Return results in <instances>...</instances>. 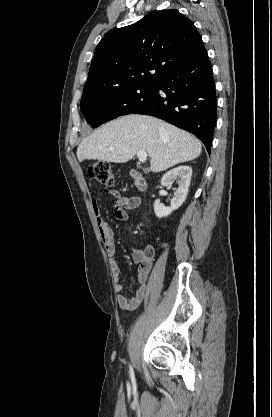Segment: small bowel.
I'll return each instance as SVG.
<instances>
[{"instance_id":"1","label":"small bowel","mask_w":272,"mask_h":417,"mask_svg":"<svg viewBox=\"0 0 272 417\" xmlns=\"http://www.w3.org/2000/svg\"><path fill=\"white\" fill-rule=\"evenodd\" d=\"M106 193L114 200V216L118 220H125L128 211L134 210L140 206L141 200L139 197H125L114 189L109 190ZM91 205L98 222L102 242L109 257L113 289L118 293L116 302L123 310L135 309L140 305L146 293V284L153 265L154 249L151 246L132 249L133 260L138 264L137 289L132 296L123 295L124 285L120 281L121 269L115 259L116 245L114 242V231L102 218L97 196L91 198Z\"/></svg>"}]
</instances>
